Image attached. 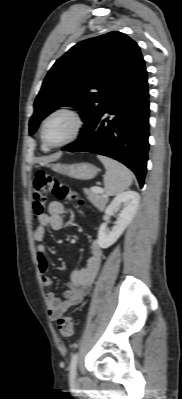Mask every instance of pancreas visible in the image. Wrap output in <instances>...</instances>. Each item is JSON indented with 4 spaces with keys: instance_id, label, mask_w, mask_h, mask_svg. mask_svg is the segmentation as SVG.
<instances>
[{
    "instance_id": "pancreas-1",
    "label": "pancreas",
    "mask_w": 182,
    "mask_h": 399,
    "mask_svg": "<svg viewBox=\"0 0 182 399\" xmlns=\"http://www.w3.org/2000/svg\"><path fill=\"white\" fill-rule=\"evenodd\" d=\"M85 193L88 195L91 202L97 207H100L106 201V196L103 194V192L86 190Z\"/></svg>"
}]
</instances>
